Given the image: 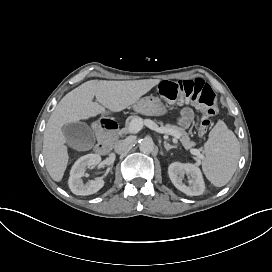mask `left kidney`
Here are the masks:
<instances>
[{"label":"left kidney","mask_w":272,"mask_h":272,"mask_svg":"<svg viewBox=\"0 0 272 272\" xmlns=\"http://www.w3.org/2000/svg\"><path fill=\"white\" fill-rule=\"evenodd\" d=\"M168 174L174 186L189 196L202 195L205 184L200 169L191 163H171L168 167ZM190 176L189 186L183 183L184 175Z\"/></svg>","instance_id":"1"}]
</instances>
